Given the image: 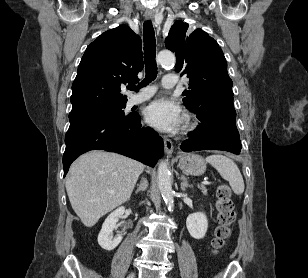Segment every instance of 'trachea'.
<instances>
[{
	"label": "trachea",
	"mask_w": 308,
	"mask_h": 278,
	"mask_svg": "<svg viewBox=\"0 0 308 278\" xmlns=\"http://www.w3.org/2000/svg\"><path fill=\"white\" fill-rule=\"evenodd\" d=\"M143 37H144V61L146 76L145 79L139 83L136 87L131 85L128 87L129 90H136L145 87L157 76V64L155 60L156 56V40L153 25L151 20H147L143 24Z\"/></svg>",
	"instance_id": "trachea-1"
}]
</instances>
